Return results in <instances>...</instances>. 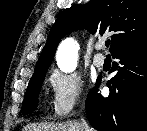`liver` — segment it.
Instances as JSON below:
<instances>
[{
	"mask_svg": "<svg viewBox=\"0 0 147 131\" xmlns=\"http://www.w3.org/2000/svg\"><path fill=\"white\" fill-rule=\"evenodd\" d=\"M22 131H82L80 123L66 122L61 124L32 123L24 126Z\"/></svg>",
	"mask_w": 147,
	"mask_h": 131,
	"instance_id": "obj_1",
	"label": "liver"
}]
</instances>
